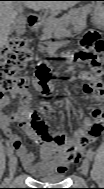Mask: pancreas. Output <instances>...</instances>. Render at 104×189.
Masks as SVG:
<instances>
[{"label":"pancreas","mask_w":104,"mask_h":189,"mask_svg":"<svg viewBox=\"0 0 104 189\" xmlns=\"http://www.w3.org/2000/svg\"><path fill=\"white\" fill-rule=\"evenodd\" d=\"M90 6L79 7L71 9L67 14H64L61 18H48L44 25V35L42 39L51 38L52 35L55 38L65 37L66 29L71 23L73 26H84L86 23L87 12Z\"/></svg>","instance_id":"obj_1"}]
</instances>
